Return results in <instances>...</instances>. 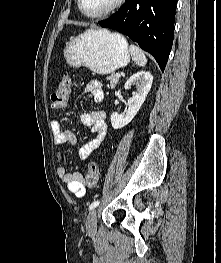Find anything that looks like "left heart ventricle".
<instances>
[{
  "label": "left heart ventricle",
  "mask_w": 221,
  "mask_h": 263,
  "mask_svg": "<svg viewBox=\"0 0 221 263\" xmlns=\"http://www.w3.org/2000/svg\"><path fill=\"white\" fill-rule=\"evenodd\" d=\"M116 0H82L83 8L88 13H99L110 7Z\"/></svg>",
  "instance_id": "left-heart-ventricle-1"
}]
</instances>
